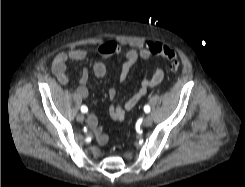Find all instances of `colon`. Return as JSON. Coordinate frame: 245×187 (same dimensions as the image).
<instances>
[{"label": "colon", "mask_w": 245, "mask_h": 187, "mask_svg": "<svg viewBox=\"0 0 245 187\" xmlns=\"http://www.w3.org/2000/svg\"><path fill=\"white\" fill-rule=\"evenodd\" d=\"M152 54L157 55L170 63L172 70H176L179 66V59L176 52L167 45H153L150 47Z\"/></svg>", "instance_id": "obj_1"}]
</instances>
